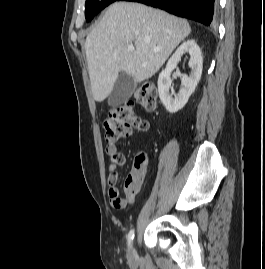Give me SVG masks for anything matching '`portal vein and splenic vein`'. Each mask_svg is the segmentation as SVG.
<instances>
[{
    "label": "portal vein and splenic vein",
    "mask_w": 265,
    "mask_h": 269,
    "mask_svg": "<svg viewBox=\"0 0 265 269\" xmlns=\"http://www.w3.org/2000/svg\"><path fill=\"white\" fill-rule=\"evenodd\" d=\"M127 48L131 52L135 50V47L133 45H128ZM156 51H158V50H156Z\"/></svg>",
    "instance_id": "portal-vein-and-splenic-vein-1"
}]
</instances>
